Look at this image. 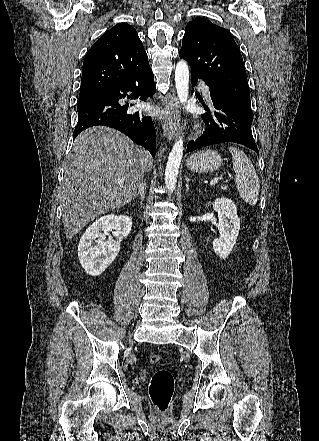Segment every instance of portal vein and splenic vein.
Returning a JSON list of instances; mask_svg holds the SVG:
<instances>
[{
    "instance_id": "18ae733b",
    "label": "portal vein and splenic vein",
    "mask_w": 319,
    "mask_h": 441,
    "mask_svg": "<svg viewBox=\"0 0 319 441\" xmlns=\"http://www.w3.org/2000/svg\"><path fill=\"white\" fill-rule=\"evenodd\" d=\"M222 178V175L215 177L213 180L210 181V185H214L216 184L220 179ZM118 183H122L123 180L122 179H118L117 181Z\"/></svg>"
}]
</instances>
